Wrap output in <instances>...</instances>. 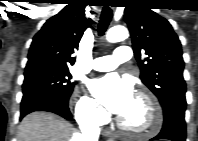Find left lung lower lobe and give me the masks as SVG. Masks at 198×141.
<instances>
[{
	"label": "left lung lower lobe",
	"mask_w": 198,
	"mask_h": 141,
	"mask_svg": "<svg viewBox=\"0 0 198 141\" xmlns=\"http://www.w3.org/2000/svg\"><path fill=\"white\" fill-rule=\"evenodd\" d=\"M186 101H174L163 108L164 123L161 132L152 140L167 139L171 141H185L186 126L184 113Z\"/></svg>",
	"instance_id": "1"
}]
</instances>
